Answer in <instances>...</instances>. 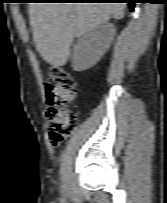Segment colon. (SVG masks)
<instances>
[{"label":"colon","mask_w":167,"mask_h":203,"mask_svg":"<svg viewBox=\"0 0 167 203\" xmlns=\"http://www.w3.org/2000/svg\"><path fill=\"white\" fill-rule=\"evenodd\" d=\"M49 121V137L54 145L71 135L77 125L75 112L69 107L77 92V84L72 74L61 66L49 70L45 82Z\"/></svg>","instance_id":"5ec220e1"}]
</instances>
